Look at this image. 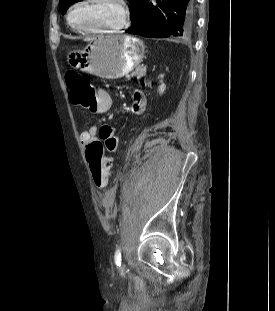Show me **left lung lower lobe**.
I'll return each mask as SVG.
<instances>
[{
	"instance_id": "obj_1",
	"label": "left lung lower lobe",
	"mask_w": 275,
	"mask_h": 311,
	"mask_svg": "<svg viewBox=\"0 0 275 311\" xmlns=\"http://www.w3.org/2000/svg\"><path fill=\"white\" fill-rule=\"evenodd\" d=\"M194 0H145L127 33L151 38L187 36L192 32Z\"/></svg>"
}]
</instances>
